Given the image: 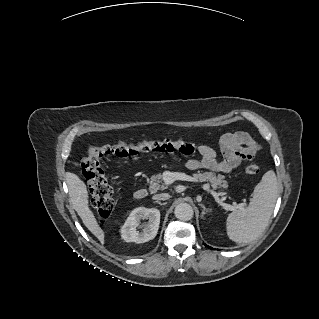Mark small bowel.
<instances>
[{"instance_id": "1", "label": "small bowel", "mask_w": 319, "mask_h": 319, "mask_svg": "<svg viewBox=\"0 0 319 319\" xmlns=\"http://www.w3.org/2000/svg\"><path fill=\"white\" fill-rule=\"evenodd\" d=\"M223 159H219L215 150L209 146L199 147V158H189L185 166L190 170L208 169L219 173H230L244 160L255 155L257 145L246 133L224 135L220 140Z\"/></svg>"}]
</instances>
